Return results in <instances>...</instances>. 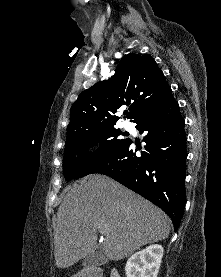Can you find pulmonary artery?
<instances>
[{"instance_id":"e3ab8cb5","label":"pulmonary artery","mask_w":221,"mask_h":277,"mask_svg":"<svg viewBox=\"0 0 221 277\" xmlns=\"http://www.w3.org/2000/svg\"><path fill=\"white\" fill-rule=\"evenodd\" d=\"M123 126H124L125 129H130L131 128V125L129 123H124Z\"/></svg>"}]
</instances>
